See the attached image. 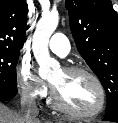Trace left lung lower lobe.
I'll list each match as a JSON object with an SVG mask.
<instances>
[{
	"label": "left lung lower lobe",
	"instance_id": "left-lung-lower-lobe-1",
	"mask_svg": "<svg viewBox=\"0 0 118 123\" xmlns=\"http://www.w3.org/2000/svg\"><path fill=\"white\" fill-rule=\"evenodd\" d=\"M103 120L104 121H112V122H117L118 123V112L106 115V117Z\"/></svg>",
	"mask_w": 118,
	"mask_h": 123
}]
</instances>
